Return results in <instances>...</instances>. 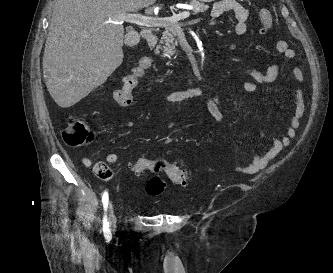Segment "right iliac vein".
<instances>
[{
	"mask_svg": "<svg viewBox=\"0 0 333 273\" xmlns=\"http://www.w3.org/2000/svg\"><path fill=\"white\" fill-rule=\"evenodd\" d=\"M109 223H110L111 230L113 232L116 231V229H117L116 217H115L114 206H113L112 202H110V204H109Z\"/></svg>",
	"mask_w": 333,
	"mask_h": 273,
	"instance_id": "63e3f726",
	"label": "right iliac vein"
}]
</instances>
